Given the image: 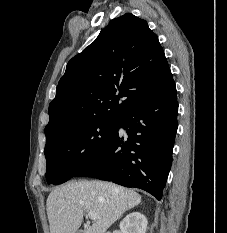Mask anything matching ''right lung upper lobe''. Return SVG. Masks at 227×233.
Returning a JSON list of instances; mask_svg holds the SVG:
<instances>
[{
	"label": "right lung upper lobe",
	"mask_w": 227,
	"mask_h": 233,
	"mask_svg": "<svg viewBox=\"0 0 227 233\" xmlns=\"http://www.w3.org/2000/svg\"><path fill=\"white\" fill-rule=\"evenodd\" d=\"M173 81L158 37L127 13L67 64L49 105L46 142L82 124L119 119Z\"/></svg>",
	"instance_id": "right-lung-upper-lobe-1"
}]
</instances>
